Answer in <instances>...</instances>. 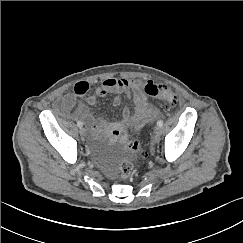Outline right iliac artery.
<instances>
[{
  "instance_id": "1",
  "label": "right iliac artery",
  "mask_w": 243,
  "mask_h": 243,
  "mask_svg": "<svg viewBox=\"0 0 243 243\" xmlns=\"http://www.w3.org/2000/svg\"><path fill=\"white\" fill-rule=\"evenodd\" d=\"M77 125H78V127H82L83 126V123L81 121H78L77 122Z\"/></svg>"
}]
</instances>
